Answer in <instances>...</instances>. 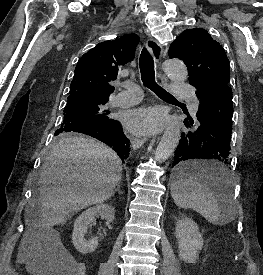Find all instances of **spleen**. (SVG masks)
Segmentation results:
<instances>
[{
  "mask_svg": "<svg viewBox=\"0 0 263 275\" xmlns=\"http://www.w3.org/2000/svg\"><path fill=\"white\" fill-rule=\"evenodd\" d=\"M197 166L218 170L224 175L220 182L223 192L217 196L205 184L192 178H181L173 182L171 196L175 204L184 209H193L214 225H225L233 217V196L230 191L231 179L229 170L217 162H197Z\"/></svg>",
  "mask_w": 263,
  "mask_h": 275,
  "instance_id": "1",
  "label": "spleen"
}]
</instances>
